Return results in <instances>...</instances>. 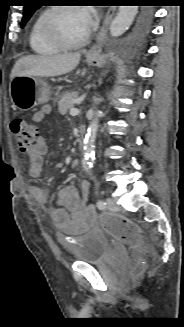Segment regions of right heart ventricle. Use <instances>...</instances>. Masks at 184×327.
<instances>
[{"instance_id":"right-heart-ventricle-1","label":"right heart ventricle","mask_w":184,"mask_h":327,"mask_svg":"<svg viewBox=\"0 0 184 327\" xmlns=\"http://www.w3.org/2000/svg\"><path fill=\"white\" fill-rule=\"evenodd\" d=\"M48 10L40 12L34 19L30 32L29 44L31 49L39 55H54L59 53L62 48L53 44L43 31V21Z\"/></svg>"}]
</instances>
